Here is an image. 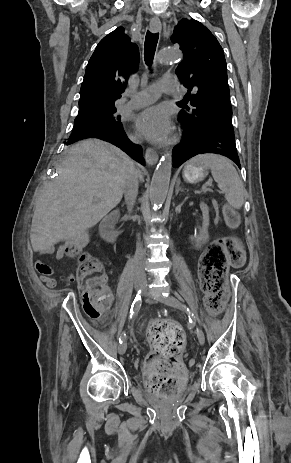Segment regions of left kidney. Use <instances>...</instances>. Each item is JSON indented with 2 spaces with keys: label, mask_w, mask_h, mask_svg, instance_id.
<instances>
[{
  "label": "left kidney",
  "mask_w": 291,
  "mask_h": 463,
  "mask_svg": "<svg viewBox=\"0 0 291 463\" xmlns=\"http://www.w3.org/2000/svg\"><path fill=\"white\" fill-rule=\"evenodd\" d=\"M200 209L203 213V224L202 229L198 235L190 236L191 241L194 242L195 247L200 248L203 244H205L209 239L208 227H209V208L204 203H200Z\"/></svg>",
  "instance_id": "1"
}]
</instances>
